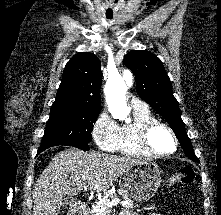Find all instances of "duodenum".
<instances>
[{"mask_svg":"<svg viewBox=\"0 0 221 215\" xmlns=\"http://www.w3.org/2000/svg\"><path fill=\"white\" fill-rule=\"evenodd\" d=\"M90 209H91V204L88 203L84 206L82 211H80L74 215H89Z\"/></svg>","mask_w":221,"mask_h":215,"instance_id":"duodenum-1","label":"duodenum"}]
</instances>
